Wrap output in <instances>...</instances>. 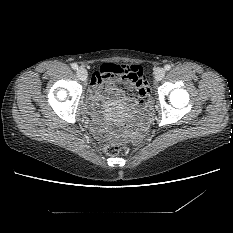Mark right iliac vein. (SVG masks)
<instances>
[{
    "label": "right iliac vein",
    "mask_w": 233,
    "mask_h": 233,
    "mask_svg": "<svg viewBox=\"0 0 233 233\" xmlns=\"http://www.w3.org/2000/svg\"><path fill=\"white\" fill-rule=\"evenodd\" d=\"M76 73H77L78 77H79L82 81H85V80H86L88 74H87V71H86L85 68H83V67L78 68L77 71H76Z\"/></svg>",
    "instance_id": "right-iliac-vein-1"
}]
</instances>
